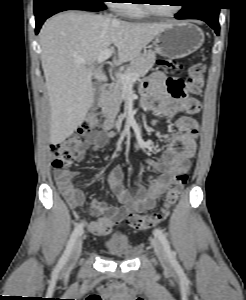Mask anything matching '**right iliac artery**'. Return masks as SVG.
Here are the masks:
<instances>
[{
	"mask_svg": "<svg viewBox=\"0 0 246 300\" xmlns=\"http://www.w3.org/2000/svg\"><path fill=\"white\" fill-rule=\"evenodd\" d=\"M82 231H83V224H78L70 236V239L67 243L66 249L58 262V267H63L64 264L67 262L69 255L71 253V250L76 242V239L82 233Z\"/></svg>",
	"mask_w": 246,
	"mask_h": 300,
	"instance_id": "1",
	"label": "right iliac artery"
}]
</instances>
